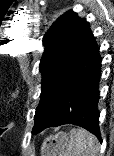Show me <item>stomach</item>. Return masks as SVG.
<instances>
[{
    "label": "stomach",
    "mask_w": 114,
    "mask_h": 156,
    "mask_svg": "<svg viewBox=\"0 0 114 156\" xmlns=\"http://www.w3.org/2000/svg\"><path fill=\"white\" fill-rule=\"evenodd\" d=\"M71 142V132L57 131L44 139L41 146V156H66Z\"/></svg>",
    "instance_id": "1"
}]
</instances>
